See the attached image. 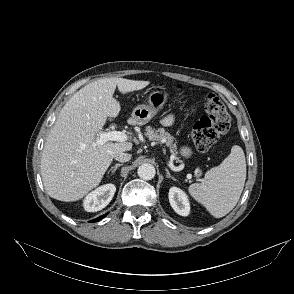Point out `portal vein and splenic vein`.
Returning <instances> with one entry per match:
<instances>
[{"instance_id":"18ae733b","label":"portal vein and splenic vein","mask_w":294,"mask_h":294,"mask_svg":"<svg viewBox=\"0 0 294 294\" xmlns=\"http://www.w3.org/2000/svg\"><path fill=\"white\" fill-rule=\"evenodd\" d=\"M97 135L98 139L96 140V145H103L108 141L124 142L128 139V136L125 133L116 130L107 132L99 131Z\"/></svg>"}]
</instances>
